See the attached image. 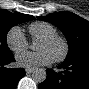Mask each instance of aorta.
Masks as SVG:
<instances>
[{"label":"aorta","mask_w":89,"mask_h":89,"mask_svg":"<svg viewBox=\"0 0 89 89\" xmlns=\"http://www.w3.org/2000/svg\"><path fill=\"white\" fill-rule=\"evenodd\" d=\"M46 71L43 68H36L33 72H32V79L36 82V83H42L45 81L46 79Z\"/></svg>","instance_id":"obj_1"}]
</instances>
